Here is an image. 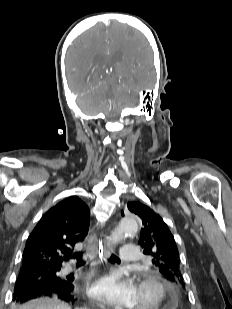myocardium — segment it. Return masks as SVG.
<instances>
[{
    "mask_svg": "<svg viewBox=\"0 0 232 309\" xmlns=\"http://www.w3.org/2000/svg\"><path fill=\"white\" fill-rule=\"evenodd\" d=\"M148 287L151 290V299L137 309H160L168 297V289L164 282L155 274L143 273L138 282V288Z\"/></svg>",
    "mask_w": 232,
    "mask_h": 309,
    "instance_id": "1",
    "label": "myocardium"
}]
</instances>
